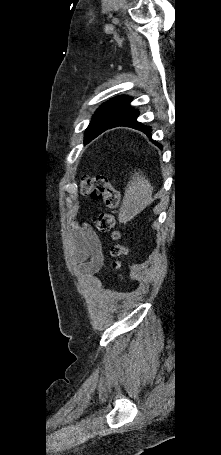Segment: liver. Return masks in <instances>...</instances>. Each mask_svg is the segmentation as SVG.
<instances>
[{"instance_id": "obj_1", "label": "liver", "mask_w": 221, "mask_h": 455, "mask_svg": "<svg viewBox=\"0 0 221 455\" xmlns=\"http://www.w3.org/2000/svg\"><path fill=\"white\" fill-rule=\"evenodd\" d=\"M153 186L142 171L134 172L125 189L118 215L120 223H127L152 202Z\"/></svg>"}]
</instances>
